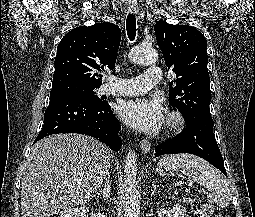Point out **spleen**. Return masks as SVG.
I'll use <instances>...</instances> for the list:
<instances>
[{
  "mask_svg": "<svg viewBox=\"0 0 255 217\" xmlns=\"http://www.w3.org/2000/svg\"><path fill=\"white\" fill-rule=\"evenodd\" d=\"M170 170H180L189 179L206 187L217 195L216 204L220 208L229 205L232 192L226 178L208 162L191 154L164 156L157 164V172L165 176Z\"/></svg>",
  "mask_w": 255,
  "mask_h": 217,
  "instance_id": "1",
  "label": "spleen"
}]
</instances>
